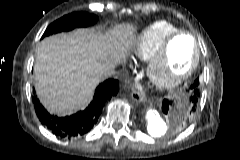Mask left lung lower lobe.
<instances>
[{"label":"left lung lower lobe","mask_w":240,"mask_h":160,"mask_svg":"<svg viewBox=\"0 0 240 160\" xmlns=\"http://www.w3.org/2000/svg\"><path fill=\"white\" fill-rule=\"evenodd\" d=\"M191 89L194 90V94L189 99V105L185 111V120H188L189 117L196 111V105L200 96L198 87L193 88L191 86ZM171 106H172V102L169 101L168 99H164L162 104V111L165 114H167Z\"/></svg>","instance_id":"left-lung-lower-lobe-1"}]
</instances>
